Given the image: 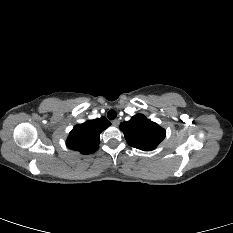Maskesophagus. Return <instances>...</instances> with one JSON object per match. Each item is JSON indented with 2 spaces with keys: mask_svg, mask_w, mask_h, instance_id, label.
Returning <instances> with one entry per match:
<instances>
[{
  "mask_svg": "<svg viewBox=\"0 0 233 233\" xmlns=\"http://www.w3.org/2000/svg\"><path fill=\"white\" fill-rule=\"evenodd\" d=\"M119 123H120V121H119L118 119H115V120L112 121V124H113L114 126H118Z\"/></svg>",
  "mask_w": 233,
  "mask_h": 233,
  "instance_id": "obj_1",
  "label": "esophagus"
}]
</instances>
